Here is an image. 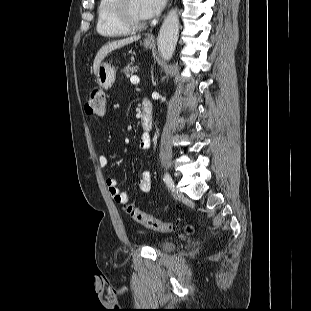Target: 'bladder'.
Listing matches in <instances>:
<instances>
[{
    "label": "bladder",
    "instance_id": "31cf9c89",
    "mask_svg": "<svg viewBox=\"0 0 311 311\" xmlns=\"http://www.w3.org/2000/svg\"><path fill=\"white\" fill-rule=\"evenodd\" d=\"M161 250L170 251L174 248V243L171 241H165L160 245Z\"/></svg>",
    "mask_w": 311,
    "mask_h": 311
}]
</instances>
